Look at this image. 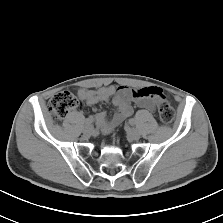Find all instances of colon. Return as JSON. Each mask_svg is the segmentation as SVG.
I'll list each match as a JSON object with an SVG mask.
<instances>
[{
  "label": "colon",
  "mask_w": 223,
  "mask_h": 223,
  "mask_svg": "<svg viewBox=\"0 0 223 223\" xmlns=\"http://www.w3.org/2000/svg\"><path fill=\"white\" fill-rule=\"evenodd\" d=\"M152 94L160 95L158 89H153ZM79 105L78 99L68 91L56 93L48 103V111L55 120H62L67 113ZM158 119L165 125H170L175 119V112L165 98H160L157 104Z\"/></svg>",
  "instance_id": "5ec220e1"
}]
</instances>
